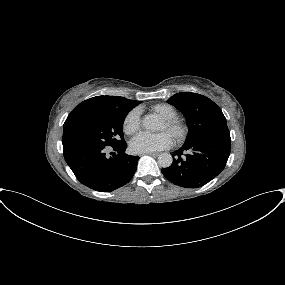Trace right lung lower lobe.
<instances>
[{
    "mask_svg": "<svg viewBox=\"0 0 285 285\" xmlns=\"http://www.w3.org/2000/svg\"><path fill=\"white\" fill-rule=\"evenodd\" d=\"M127 144L114 147L93 145H72L63 147L64 158L76 178L85 186L102 192L116 190L133 177L138 156L126 155ZM116 153L112 157L106 155L107 150Z\"/></svg>",
    "mask_w": 285,
    "mask_h": 285,
    "instance_id": "98d812e1",
    "label": "right lung lower lobe"
}]
</instances>
